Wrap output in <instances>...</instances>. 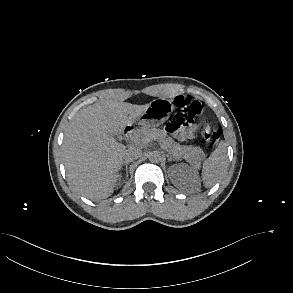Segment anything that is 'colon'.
Returning <instances> with one entry per match:
<instances>
[{"instance_id":"1","label":"colon","mask_w":293,"mask_h":293,"mask_svg":"<svg viewBox=\"0 0 293 293\" xmlns=\"http://www.w3.org/2000/svg\"><path fill=\"white\" fill-rule=\"evenodd\" d=\"M174 106L177 108L178 112L167 122L165 129L170 134L181 136L184 129L196 117L202 114L203 106L199 101H191L184 96L176 97L174 99ZM202 135L211 146H214L219 139V134L212 130L207 122L203 124Z\"/></svg>"}]
</instances>
